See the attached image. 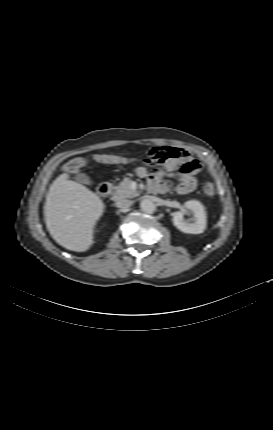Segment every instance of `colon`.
<instances>
[{
    "instance_id": "5ec220e1",
    "label": "colon",
    "mask_w": 273,
    "mask_h": 430,
    "mask_svg": "<svg viewBox=\"0 0 273 430\" xmlns=\"http://www.w3.org/2000/svg\"><path fill=\"white\" fill-rule=\"evenodd\" d=\"M92 160L97 162V163H102V164L124 163V162L131 161L130 158L125 157V156H116V155H107V154L97 155L94 158H92ZM90 161L91 160L87 159V158L77 157V158L70 160L65 165L64 169L66 172H68L70 174H75L81 168L85 167ZM202 189H203L204 194L207 196L211 197L215 194V186L211 182H206L203 185Z\"/></svg>"
}]
</instances>
